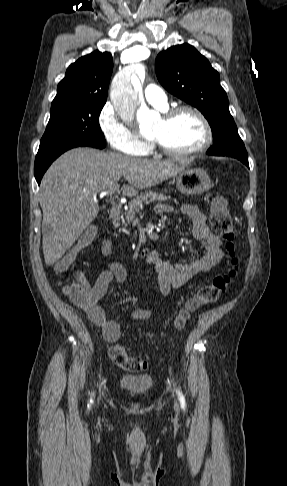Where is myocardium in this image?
I'll use <instances>...</instances> for the list:
<instances>
[{
	"instance_id": "myocardium-1",
	"label": "myocardium",
	"mask_w": 287,
	"mask_h": 486,
	"mask_svg": "<svg viewBox=\"0 0 287 486\" xmlns=\"http://www.w3.org/2000/svg\"><path fill=\"white\" fill-rule=\"evenodd\" d=\"M183 113H191L198 118V120L201 122L203 130H204V139L199 146L192 148V149H189V150H183V151H177V150L169 149V148L165 147L163 144H161L158 140L151 139L150 140L151 145L154 148H156L159 152H161L162 154H164L166 156H170V157L193 156V155H196V154H199V153L206 151L211 146V144L213 142V132H212V128H211V125H210L208 119L199 109H197L193 106L183 105V106L171 108L163 114L162 118H163L164 121L168 122V121H171L172 119H174L175 117H177L178 115L183 114Z\"/></svg>"
}]
</instances>
